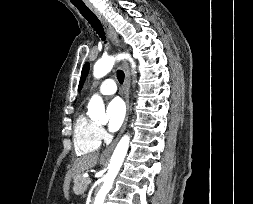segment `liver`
<instances>
[{
    "label": "liver",
    "mask_w": 253,
    "mask_h": 204,
    "mask_svg": "<svg viewBox=\"0 0 253 204\" xmlns=\"http://www.w3.org/2000/svg\"><path fill=\"white\" fill-rule=\"evenodd\" d=\"M98 157H99L98 153H90L82 157L76 158L73 161L72 168L67 172L65 178L63 188L65 195H67L68 193L69 181L71 177L78 176L80 173L93 168L98 162Z\"/></svg>",
    "instance_id": "obj_1"
}]
</instances>
